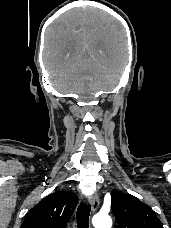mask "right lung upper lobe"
<instances>
[{
  "mask_svg": "<svg viewBox=\"0 0 171 228\" xmlns=\"http://www.w3.org/2000/svg\"><path fill=\"white\" fill-rule=\"evenodd\" d=\"M77 202L71 191L52 193L27 213L20 228H65Z\"/></svg>",
  "mask_w": 171,
  "mask_h": 228,
  "instance_id": "1",
  "label": "right lung upper lobe"
}]
</instances>
